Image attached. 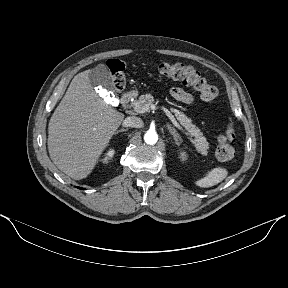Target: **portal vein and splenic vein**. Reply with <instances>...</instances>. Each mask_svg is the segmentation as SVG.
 <instances>
[{
	"instance_id": "18ae733b",
	"label": "portal vein and splenic vein",
	"mask_w": 288,
	"mask_h": 288,
	"mask_svg": "<svg viewBox=\"0 0 288 288\" xmlns=\"http://www.w3.org/2000/svg\"><path fill=\"white\" fill-rule=\"evenodd\" d=\"M158 106H156L155 104H149V105H146L144 107H134L135 111L138 112V113H145V112H148L150 109L151 110H155L157 109ZM161 109L164 111V113L169 117V119L172 121V123L179 129V130H182V127L178 124V122L175 120L174 116L171 114V112L164 106H161ZM187 134V133H186Z\"/></svg>"
}]
</instances>
